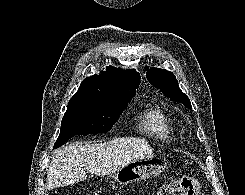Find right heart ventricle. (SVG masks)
<instances>
[{"mask_svg":"<svg viewBox=\"0 0 245 195\" xmlns=\"http://www.w3.org/2000/svg\"><path fill=\"white\" fill-rule=\"evenodd\" d=\"M172 130L171 118L157 105L148 106L138 116V131L144 136L167 140Z\"/></svg>","mask_w":245,"mask_h":195,"instance_id":"right-heart-ventricle-1","label":"right heart ventricle"}]
</instances>
